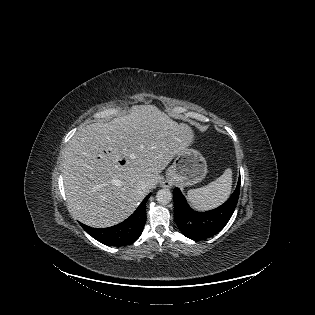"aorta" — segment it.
<instances>
[{"label": "aorta", "instance_id": "1", "mask_svg": "<svg viewBox=\"0 0 315 315\" xmlns=\"http://www.w3.org/2000/svg\"><path fill=\"white\" fill-rule=\"evenodd\" d=\"M156 200L160 204H168L172 200V193L169 189H161L156 194Z\"/></svg>", "mask_w": 315, "mask_h": 315}]
</instances>
